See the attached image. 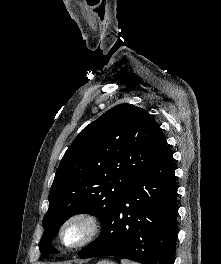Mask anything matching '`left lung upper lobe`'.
<instances>
[{
	"label": "left lung upper lobe",
	"mask_w": 221,
	"mask_h": 264,
	"mask_svg": "<svg viewBox=\"0 0 221 264\" xmlns=\"http://www.w3.org/2000/svg\"><path fill=\"white\" fill-rule=\"evenodd\" d=\"M166 145L151 115L132 104L117 105L86 126L65 152L51 186L42 256L57 253L50 241L71 216L89 213L102 223Z\"/></svg>",
	"instance_id": "obj_1"
}]
</instances>
